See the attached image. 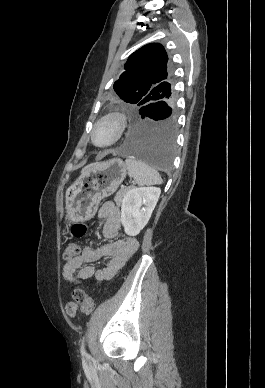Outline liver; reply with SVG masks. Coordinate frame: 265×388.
Returning a JSON list of instances; mask_svg holds the SVG:
<instances>
[{
	"label": "liver",
	"mask_w": 265,
	"mask_h": 388,
	"mask_svg": "<svg viewBox=\"0 0 265 388\" xmlns=\"http://www.w3.org/2000/svg\"><path fill=\"white\" fill-rule=\"evenodd\" d=\"M90 166H95V164H90ZM90 166H86V168H84V170H87V168H90Z\"/></svg>",
	"instance_id": "1"
}]
</instances>
